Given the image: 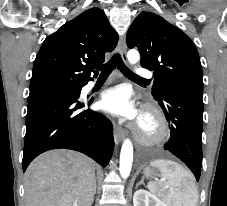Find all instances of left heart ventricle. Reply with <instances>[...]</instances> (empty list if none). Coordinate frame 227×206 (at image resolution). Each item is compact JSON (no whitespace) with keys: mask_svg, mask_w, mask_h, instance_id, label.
Here are the masks:
<instances>
[{"mask_svg":"<svg viewBox=\"0 0 227 206\" xmlns=\"http://www.w3.org/2000/svg\"><path fill=\"white\" fill-rule=\"evenodd\" d=\"M143 127L145 130H149L150 129V124L147 121L143 122Z\"/></svg>","mask_w":227,"mask_h":206,"instance_id":"1","label":"left heart ventricle"}]
</instances>
